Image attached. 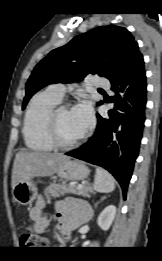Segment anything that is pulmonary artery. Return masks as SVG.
I'll return each mask as SVG.
<instances>
[{
	"mask_svg": "<svg viewBox=\"0 0 162 261\" xmlns=\"http://www.w3.org/2000/svg\"><path fill=\"white\" fill-rule=\"evenodd\" d=\"M95 86L102 90H109L111 87L110 82L107 79L96 77L95 78ZM48 90L52 92L59 98H62L65 95L66 87L62 83L51 84L48 87Z\"/></svg>",
	"mask_w": 162,
	"mask_h": 261,
	"instance_id": "pulmonary-artery-1",
	"label": "pulmonary artery"
}]
</instances>
